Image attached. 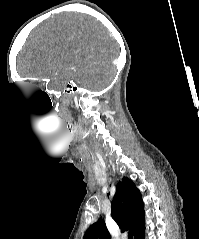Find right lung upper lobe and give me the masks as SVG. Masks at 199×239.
Returning a JSON list of instances; mask_svg holds the SVG:
<instances>
[{"label": "right lung upper lobe", "mask_w": 199, "mask_h": 239, "mask_svg": "<svg viewBox=\"0 0 199 239\" xmlns=\"http://www.w3.org/2000/svg\"><path fill=\"white\" fill-rule=\"evenodd\" d=\"M111 216L119 228L132 229L134 232L145 222L141 193L127 177H123L117 184L112 200ZM83 239H111L104 220L99 219L92 224Z\"/></svg>", "instance_id": "cb5924a9"}]
</instances>
